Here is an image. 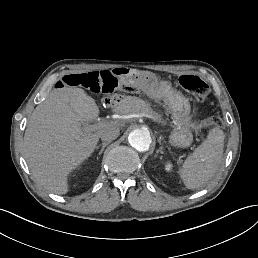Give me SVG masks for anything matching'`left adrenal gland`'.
<instances>
[{"mask_svg": "<svg viewBox=\"0 0 258 258\" xmlns=\"http://www.w3.org/2000/svg\"><path fill=\"white\" fill-rule=\"evenodd\" d=\"M161 153V154H163L164 152H163V146H160L159 147V149L156 151V153Z\"/></svg>", "mask_w": 258, "mask_h": 258, "instance_id": "1", "label": "left adrenal gland"}]
</instances>
